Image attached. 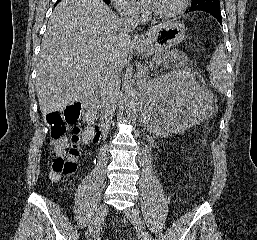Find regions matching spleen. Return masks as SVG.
Listing matches in <instances>:
<instances>
[{
    "label": "spleen",
    "mask_w": 257,
    "mask_h": 240,
    "mask_svg": "<svg viewBox=\"0 0 257 240\" xmlns=\"http://www.w3.org/2000/svg\"><path fill=\"white\" fill-rule=\"evenodd\" d=\"M210 82L220 93H225L228 88V75L226 71V55L223 45H219L210 61Z\"/></svg>",
    "instance_id": "1"
}]
</instances>
